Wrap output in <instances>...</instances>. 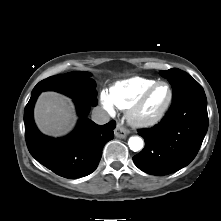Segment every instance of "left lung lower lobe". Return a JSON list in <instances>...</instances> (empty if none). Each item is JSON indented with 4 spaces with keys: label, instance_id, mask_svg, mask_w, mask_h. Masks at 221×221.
<instances>
[{
    "label": "left lung lower lobe",
    "instance_id": "1",
    "mask_svg": "<svg viewBox=\"0 0 221 221\" xmlns=\"http://www.w3.org/2000/svg\"><path fill=\"white\" fill-rule=\"evenodd\" d=\"M208 129L207 99L202 87L172 99L163 120L140 129L145 148L133 157L135 165L152 175H167L187 166L196 156Z\"/></svg>",
    "mask_w": 221,
    "mask_h": 221
}]
</instances>
